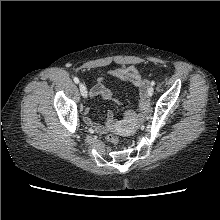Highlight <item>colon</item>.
<instances>
[{
  "mask_svg": "<svg viewBox=\"0 0 220 220\" xmlns=\"http://www.w3.org/2000/svg\"><path fill=\"white\" fill-rule=\"evenodd\" d=\"M107 141L112 145H116L118 143V137L111 133L107 136Z\"/></svg>",
  "mask_w": 220,
  "mask_h": 220,
  "instance_id": "obj_1",
  "label": "colon"
}]
</instances>
